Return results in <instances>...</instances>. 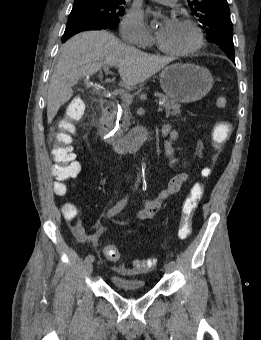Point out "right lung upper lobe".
<instances>
[{"instance_id":"right-lung-upper-lobe-1","label":"right lung upper lobe","mask_w":261,"mask_h":340,"mask_svg":"<svg viewBox=\"0 0 261 340\" xmlns=\"http://www.w3.org/2000/svg\"><path fill=\"white\" fill-rule=\"evenodd\" d=\"M81 1H125V0H75L74 2H81Z\"/></svg>"}]
</instances>
